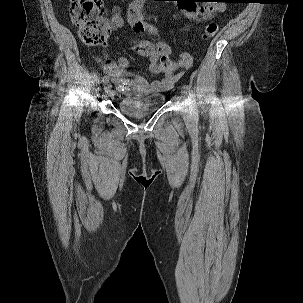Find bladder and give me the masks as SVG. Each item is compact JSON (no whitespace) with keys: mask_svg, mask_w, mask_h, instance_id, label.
<instances>
[{"mask_svg":"<svg viewBox=\"0 0 303 303\" xmlns=\"http://www.w3.org/2000/svg\"><path fill=\"white\" fill-rule=\"evenodd\" d=\"M165 99V95L131 93L123 95L119 100L120 110L127 116L141 119L159 109Z\"/></svg>","mask_w":303,"mask_h":303,"instance_id":"obj_1","label":"bladder"}]
</instances>
